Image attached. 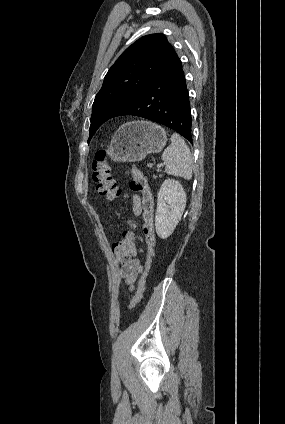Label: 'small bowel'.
<instances>
[{
  "label": "small bowel",
  "instance_id": "c3829d8e",
  "mask_svg": "<svg viewBox=\"0 0 285 424\" xmlns=\"http://www.w3.org/2000/svg\"><path fill=\"white\" fill-rule=\"evenodd\" d=\"M132 208L133 214L139 216L142 213V207L140 199L138 196H133L132 198ZM129 230L127 234L130 235L133 240H140V237L136 234L135 230L138 228V223L134 220H128L127 222ZM142 252L141 248L135 247L134 255L127 260L120 261V276L123 279L124 283L130 288L134 289V285L137 277L142 272V266L140 260L137 258V255Z\"/></svg>",
  "mask_w": 285,
  "mask_h": 424
}]
</instances>
